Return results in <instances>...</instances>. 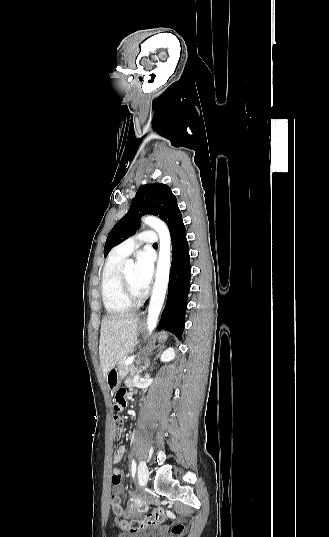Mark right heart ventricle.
Listing matches in <instances>:
<instances>
[{
	"mask_svg": "<svg viewBox=\"0 0 329 537\" xmlns=\"http://www.w3.org/2000/svg\"><path fill=\"white\" fill-rule=\"evenodd\" d=\"M123 260V257L112 253L102 270L101 296L104 307L110 314L125 313L133 306L124 297L120 286L119 272Z\"/></svg>",
	"mask_w": 329,
	"mask_h": 537,
	"instance_id": "1",
	"label": "right heart ventricle"
}]
</instances>
